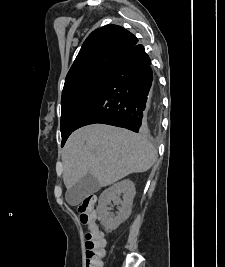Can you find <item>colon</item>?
<instances>
[{
	"label": "colon",
	"instance_id": "colon-1",
	"mask_svg": "<svg viewBox=\"0 0 225 267\" xmlns=\"http://www.w3.org/2000/svg\"><path fill=\"white\" fill-rule=\"evenodd\" d=\"M94 204L95 198L88 196L78 206L81 222L87 226L84 233L86 239L84 267H103V258L105 256L103 233L94 222Z\"/></svg>",
	"mask_w": 225,
	"mask_h": 267
}]
</instances>
